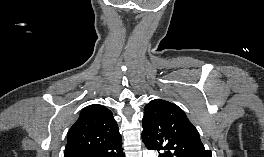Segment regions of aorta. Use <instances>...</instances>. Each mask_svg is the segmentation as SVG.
<instances>
[{"mask_svg":"<svg viewBox=\"0 0 264 157\" xmlns=\"http://www.w3.org/2000/svg\"><path fill=\"white\" fill-rule=\"evenodd\" d=\"M145 157H156V156H155V153L153 151L146 150L145 151Z\"/></svg>","mask_w":264,"mask_h":157,"instance_id":"1","label":"aorta"}]
</instances>
